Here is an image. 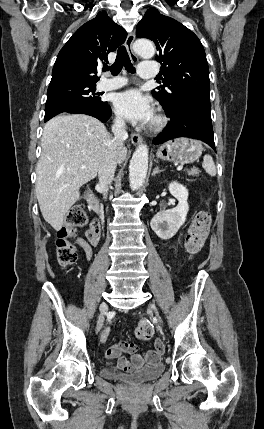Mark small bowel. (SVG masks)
<instances>
[{
    "instance_id": "1",
    "label": "small bowel",
    "mask_w": 264,
    "mask_h": 429,
    "mask_svg": "<svg viewBox=\"0 0 264 429\" xmlns=\"http://www.w3.org/2000/svg\"><path fill=\"white\" fill-rule=\"evenodd\" d=\"M101 234V226L99 222H93L86 231V238L78 237L75 243L83 249L86 259L90 261L93 256L92 247L99 243ZM109 335V329H106L101 337V342H106ZM159 341V340H156ZM155 341V342H156ZM164 348L158 349L156 345L154 349L145 352L144 354L138 353V347L129 342L117 343L106 350V357L108 359L116 360L117 367L123 371H132L141 368L144 364H155L160 360ZM124 354H130L128 359Z\"/></svg>"
}]
</instances>
